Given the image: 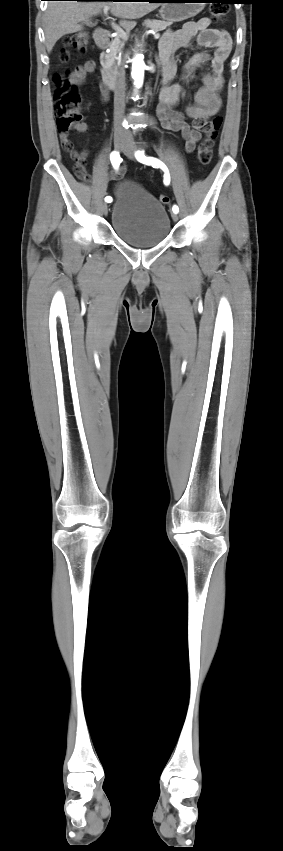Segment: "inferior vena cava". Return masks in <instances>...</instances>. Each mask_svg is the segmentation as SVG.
Masks as SVG:
<instances>
[{
    "instance_id": "602c4592",
    "label": "inferior vena cava",
    "mask_w": 283,
    "mask_h": 851,
    "mask_svg": "<svg viewBox=\"0 0 283 851\" xmlns=\"http://www.w3.org/2000/svg\"><path fill=\"white\" fill-rule=\"evenodd\" d=\"M125 112V77L122 72L117 73L114 87V129L115 132L126 133L121 126Z\"/></svg>"
}]
</instances>
